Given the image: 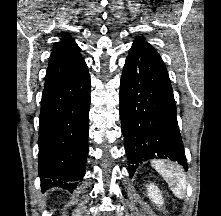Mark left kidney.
Instances as JSON below:
<instances>
[{"label":"left kidney","mask_w":221,"mask_h":216,"mask_svg":"<svg viewBox=\"0 0 221 216\" xmlns=\"http://www.w3.org/2000/svg\"><path fill=\"white\" fill-rule=\"evenodd\" d=\"M147 191L149 198L154 203L159 205V207L163 205V198L157 186H155L154 184H150L149 186H147Z\"/></svg>","instance_id":"left-kidney-1"}]
</instances>
